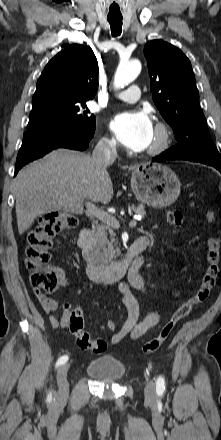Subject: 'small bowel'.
<instances>
[{"label":"small bowel","instance_id":"obj_1","mask_svg":"<svg viewBox=\"0 0 221 440\" xmlns=\"http://www.w3.org/2000/svg\"><path fill=\"white\" fill-rule=\"evenodd\" d=\"M142 238L148 242L147 238ZM61 279L63 285L65 287H69L68 281L64 279L62 274ZM119 289L123 297V303L127 310V316L122 328L112 335L111 344H117L125 337L136 340L144 335L148 330L157 326L161 319V316L158 312H151L140 320V306L134 292L138 291L144 293L146 291V286L139 271L132 269L129 272L127 279L119 284ZM33 294L45 313L49 316V321L53 328L66 329L69 327V317L71 311L75 307L73 304L69 302L59 303L56 299L47 297L45 294L37 290H34ZM59 311L62 313V315L58 319L56 317V313Z\"/></svg>","mask_w":221,"mask_h":440}]
</instances>
